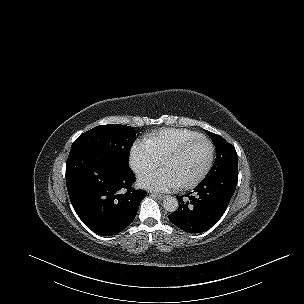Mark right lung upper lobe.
I'll return each mask as SVG.
<instances>
[{"label": "right lung upper lobe", "instance_id": "cb5924a9", "mask_svg": "<svg viewBox=\"0 0 304 304\" xmlns=\"http://www.w3.org/2000/svg\"><path fill=\"white\" fill-rule=\"evenodd\" d=\"M75 150H78V149H73V150H71L70 152L75 151Z\"/></svg>", "mask_w": 304, "mask_h": 304}]
</instances>
